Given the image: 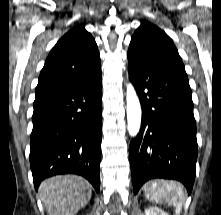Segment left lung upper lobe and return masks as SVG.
<instances>
[{"label":"left lung upper lobe","instance_id":"obj_1","mask_svg":"<svg viewBox=\"0 0 221 215\" xmlns=\"http://www.w3.org/2000/svg\"><path fill=\"white\" fill-rule=\"evenodd\" d=\"M128 56L134 60L169 64L185 71L172 39L156 25L142 21L132 36Z\"/></svg>","mask_w":221,"mask_h":215}]
</instances>
